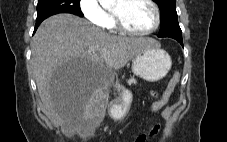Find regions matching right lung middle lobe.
I'll return each mask as SVG.
<instances>
[{
    "mask_svg": "<svg viewBox=\"0 0 227 142\" xmlns=\"http://www.w3.org/2000/svg\"><path fill=\"white\" fill-rule=\"evenodd\" d=\"M57 13H71L83 17L80 0H38L36 20H44Z\"/></svg>",
    "mask_w": 227,
    "mask_h": 142,
    "instance_id": "right-lung-middle-lobe-1",
    "label": "right lung middle lobe"
}]
</instances>
